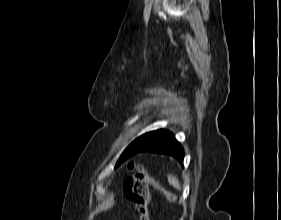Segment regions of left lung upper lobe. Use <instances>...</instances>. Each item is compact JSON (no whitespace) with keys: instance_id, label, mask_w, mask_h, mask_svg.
I'll use <instances>...</instances> for the list:
<instances>
[{"instance_id":"obj_1","label":"left lung upper lobe","mask_w":281,"mask_h":220,"mask_svg":"<svg viewBox=\"0 0 281 220\" xmlns=\"http://www.w3.org/2000/svg\"><path fill=\"white\" fill-rule=\"evenodd\" d=\"M154 134L155 131H152L136 138L122 153L116 164V167L123 163L129 157L133 156L137 149L143 146L146 142H148L154 136Z\"/></svg>"}]
</instances>
